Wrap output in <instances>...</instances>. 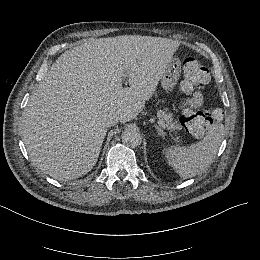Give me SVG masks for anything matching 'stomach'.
<instances>
[{
    "mask_svg": "<svg viewBox=\"0 0 260 260\" xmlns=\"http://www.w3.org/2000/svg\"><path fill=\"white\" fill-rule=\"evenodd\" d=\"M182 62L178 58H171L167 62V70L161 77L163 91L171 93L178 83L181 75Z\"/></svg>",
    "mask_w": 260,
    "mask_h": 260,
    "instance_id": "0dacf381",
    "label": "stomach"
}]
</instances>
